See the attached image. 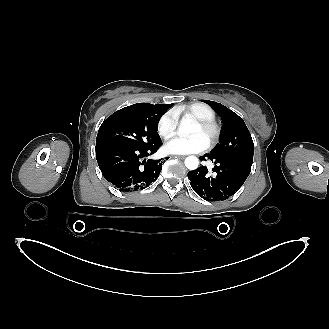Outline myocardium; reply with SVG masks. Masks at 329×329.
Returning <instances> with one entry per match:
<instances>
[{"instance_id": "1", "label": "myocardium", "mask_w": 329, "mask_h": 329, "mask_svg": "<svg viewBox=\"0 0 329 329\" xmlns=\"http://www.w3.org/2000/svg\"><path fill=\"white\" fill-rule=\"evenodd\" d=\"M194 124L198 125L202 130L209 133V148L215 146L218 143L221 136V127L215 120L196 119Z\"/></svg>"}]
</instances>
